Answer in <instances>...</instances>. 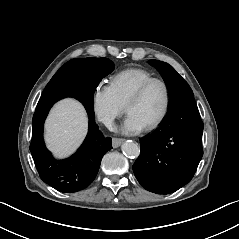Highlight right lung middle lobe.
<instances>
[{"instance_id":"dd1d6c3e","label":"right lung middle lobe","mask_w":239,"mask_h":239,"mask_svg":"<svg viewBox=\"0 0 239 239\" xmlns=\"http://www.w3.org/2000/svg\"><path fill=\"white\" fill-rule=\"evenodd\" d=\"M89 66L90 68H87ZM94 68L101 76H106L114 69V64L107 58H79L65 63L45 87L41 98L81 87L79 74Z\"/></svg>"}]
</instances>
